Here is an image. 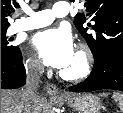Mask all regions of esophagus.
<instances>
[{
	"mask_svg": "<svg viewBox=\"0 0 123 113\" xmlns=\"http://www.w3.org/2000/svg\"><path fill=\"white\" fill-rule=\"evenodd\" d=\"M45 88L50 95H54V96H63L64 95L62 92H60L58 90V88L54 84L48 83V84H46Z\"/></svg>",
	"mask_w": 123,
	"mask_h": 113,
	"instance_id": "obj_1",
	"label": "esophagus"
}]
</instances>
